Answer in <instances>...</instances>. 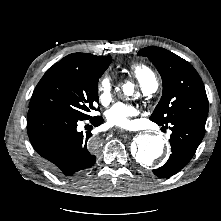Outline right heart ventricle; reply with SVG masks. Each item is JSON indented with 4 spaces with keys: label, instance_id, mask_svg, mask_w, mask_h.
<instances>
[{
    "label": "right heart ventricle",
    "instance_id": "right-heart-ventricle-1",
    "mask_svg": "<svg viewBox=\"0 0 221 221\" xmlns=\"http://www.w3.org/2000/svg\"><path fill=\"white\" fill-rule=\"evenodd\" d=\"M130 71L133 76L145 87L155 78L153 72L144 64L135 63L130 66Z\"/></svg>",
    "mask_w": 221,
    "mask_h": 221
}]
</instances>
